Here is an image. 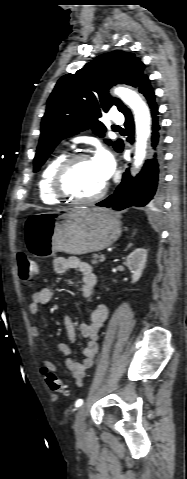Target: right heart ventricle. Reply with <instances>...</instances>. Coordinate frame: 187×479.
Wrapping results in <instances>:
<instances>
[{
    "label": "right heart ventricle",
    "instance_id": "right-heart-ventricle-1",
    "mask_svg": "<svg viewBox=\"0 0 187 479\" xmlns=\"http://www.w3.org/2000/svg\"><path fill=\"white\" fill-rule=\"evenodd\" d=\"M66 156L67 154L64 151L53 156L40 174L38 181V192L41 201L45 204L55 205L62 202V199L53 193L52 177L58 165Z\"/></svg>",
    "mask_w": 187,
    "mask_h": 479
}]
</instances>
